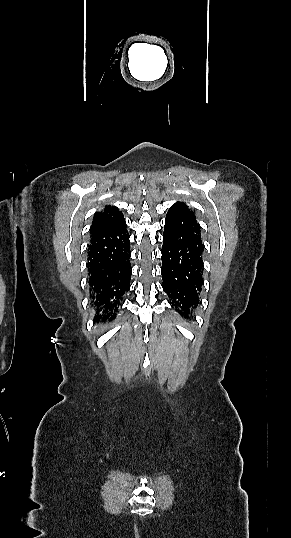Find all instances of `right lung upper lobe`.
<instances>
[{"label": "right lung upper lobe", "instance_id": "1", "mask_svg": "<svg viewBox=\"0 0 291 538\" xmlns=\"http://www.w3.org/2000/svg\"><path fill=\"white\" fill-rule=\"evenodd\" d=\"M125 221L122 212L115 206H105L103 212H96L93 216L90 233H95Z\"/></svg>", "mask_w": 291, "mask_h": 538}]
</instances>
